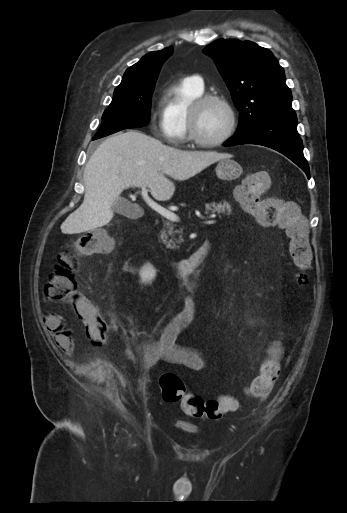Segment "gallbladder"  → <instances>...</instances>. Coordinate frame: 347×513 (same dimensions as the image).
<instances>
[{
	"mask_svg": "<svg viewBox=\"0 0 347 513\" xmlns=\"http://www.w3.org/2000/svg\"><path fill=\"white\" fill-rule=\"evenodd\" d=\"M113 210L123 216L135 218L138 215V207L125 198H119L113 205Z\"/></svg>",
	"mask_w": 347,
	"mask_h": 513,
	"instance_id": "gallbladder-1",
	"label": "gallbladder"
}]
</instances>
